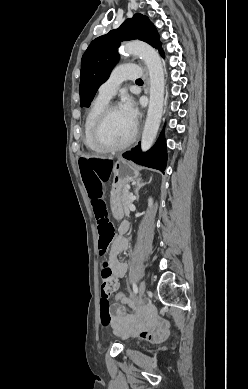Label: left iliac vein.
I'll return each mask as SVG.
<instances>
[{"label":"left iliac vein","instance_id":"obj_1","mask_svg":"<svg viewBox=\"0 0 248 389\" xmlns=\"http://www.w3.org/2000/svg\"><path fill=\"white\" fill-rule=\"evenodd\" d=\"M146 291V282L144 280L141 281L139 285V297L140 299L145 295Z\"/></svg>","mask_w":248,"mask_h":389}]
</instances>
